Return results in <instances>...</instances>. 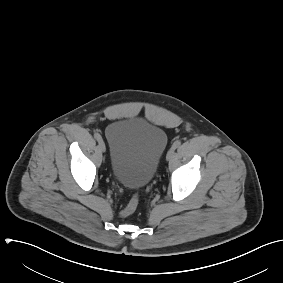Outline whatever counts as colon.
<instances>
[{
    "instance_id": "1",
    "label": "colon",
    "mask_w": 283,
    "mask_h": 283,
    "mask_svg": "<svg viewBox=\"0 0 283 283\" xmlns=\"http://www.w3.org/2000/svg\"><path fill=\"white\" fill-rule=\"evenodd\" d=\"M138 203H139V197H138V195L136 194V195H134V196L130 199V201H129L128 204L125 206V208L122 209V211H121V213H120L121 216H122V217H127V216L133 214V213L136 211L137 207H138Z\"/></svg>"
}]
</instances>
